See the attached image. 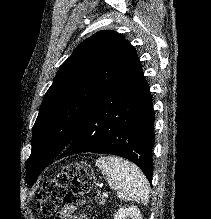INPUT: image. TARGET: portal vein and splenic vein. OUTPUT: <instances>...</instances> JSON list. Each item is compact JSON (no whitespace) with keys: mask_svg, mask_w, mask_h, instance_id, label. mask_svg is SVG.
<instances>
[{"mask_svg":"<svg viewBox=\"0 0 211 219\" xmlns=\"http://www.w3.org/2000/svg\"><path fill=\"white\" fill-rule=\"evenodd\" d=\"M103 195L106 197V196H108L106 193H103Z\"/></svg>","mask_w":211,"mask_h":219,"instance_id":"obj_1","label":"portal vein and splenic vein"}]
</instances>
